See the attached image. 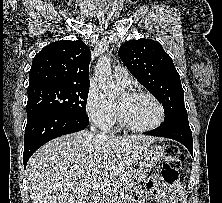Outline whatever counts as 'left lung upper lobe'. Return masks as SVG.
Instances as JSON below:
<instances>
[{
  "mask_svg": "<svg viewBox=\"0 0 222 203\" xmlns=\"http://www.w3.org/2000/svg\"><path fill=\"white\" fill-rule=\"evenodd\" d=\"M127 69L164 108V123L188 122L184 91L171 57L151 39L129 40L118 51Z\"/></svg>",
  "mask_w": 222,
  "mask_h": 203,
  "instance_id": "1",
  "label": "left lung upper lobe"
}]
</instances>
